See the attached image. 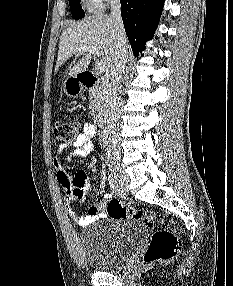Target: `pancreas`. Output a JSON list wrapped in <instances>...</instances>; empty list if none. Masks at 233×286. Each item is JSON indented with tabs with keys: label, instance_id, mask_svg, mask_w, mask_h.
Listing matches in <instances>:
<instances>
[{
	"label": "pancreas",
	"instance_id": "1",
	"mask_svg": "<svg viewBox=\"0 0 233 286\" xmlns=\"http://www.w3.org/2000/svg\"><path fill=\"white\" fill-rule=\"evenodd\" d=\"M103 102L104 94L102 88L100 86L92 88L89 93V106L94 120L101 116Z\"/></svg>",
	"mask_w": 233,
	"mask_h": 286
}]
</instances>
